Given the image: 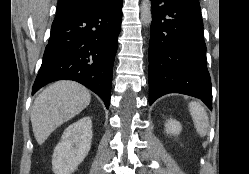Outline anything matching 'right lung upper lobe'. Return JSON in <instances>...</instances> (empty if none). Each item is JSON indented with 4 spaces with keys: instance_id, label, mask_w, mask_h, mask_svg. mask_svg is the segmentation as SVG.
Segmentation results:
<instances>
[{
    "instance_id": "cb5924a9",
    "label": "right lung upper lobe",
    "mask_w": 249,
    "mask_h": 174,
    "mask_svg": "<svg viewBox=\"0 0 249 174\" xmlns=\"http://www.w3.org/2000/svg\"><path fill=\"white\" fill-rule=\"evenodd\" d=\"M116 0H58L54 21L65 19L78 12L105 6Z\"/></svg>"
}]
</instances>
